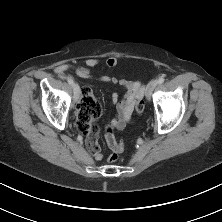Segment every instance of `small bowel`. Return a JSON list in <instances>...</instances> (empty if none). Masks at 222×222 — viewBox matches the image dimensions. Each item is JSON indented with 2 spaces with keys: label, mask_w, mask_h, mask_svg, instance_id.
<instances>
[{
  "label": "small bowel",
  "mask_w": 222,
  "mask_h": 222,
  "mask_svg": "<svg viewBox=\"0 0 222 222\" xmlns=\"http://www.w3.org/2000/svg\"><path fill=\"white\" fill-rule=\"evenodd\" d=\"M100 62L99 59L92 58L86 61L85 66L80 67H73L70 64H59L55 67L54 71L58 74H63L73 69L76 75L81 78H92L94 77L92 69L97 67ZM116 64L117 59L115 57L106 60V65L108 67H114ZM99 79L103 82L119 84L125 91L122 99H120L118 93L112 94V102L116 106L117 116L107 125V128L122 130L132 120L135 104L143 97L144 88L139 82H133L124 78L118 79L108 75H101ZM95 120L96 119H93L88 126V131L86 133L87 145L92 151L94 158L96 160H101L103 155L98 147L99 128L95 124Z\"/></svg>",
  "instance_id": "small-bowel-1"
}]
</instances>
